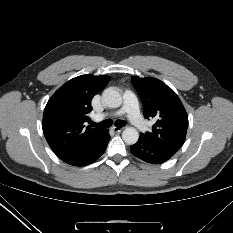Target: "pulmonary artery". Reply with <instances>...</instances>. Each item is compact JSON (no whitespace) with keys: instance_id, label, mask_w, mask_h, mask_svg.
<instances>
[{"instance_id":"e3ab8cb5","label":"pulmonary artery","mask_w":233,"mask_h":233,"mask_svg":"<svg viewBox=\"0 0 233 233\" xmlns=\"http://www.w3.org/2000/svg\"><path fill=\"white\" fill-rule=\"evenodd\" d=\"M122 114H126L128 116V119L130 122L138 129L144 130L146 128V123L143 120L140 110H139V104L138 100L134 93L128 91L124 95V104L123 107L119 110H116L114 112L110 113H104L101 115H98V119H102L104 117L108 116H120Z\"/></svg>"}]
</instances>
